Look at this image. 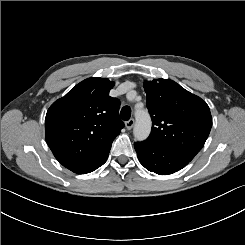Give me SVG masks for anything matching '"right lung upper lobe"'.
<instances>
[{
	"instance_id": "cb5924a9",
	"label": "right lung upper lobe",
	"mask_w": 245,
	"mask_h": 245,
	"mask_svg": "<svg viewBox=\"0 0 245 245\" xmlns=\"http://www.w3.org/2000/svg\"><path fill=\"white\" fill-rule=\"evenodd\" d=\"M114 84L107 78L85 79L47 111V144L55 158L76 174L103 165L124 127L118 113L120 102L109 96Z\"/></svg>"
}]
</instances>
